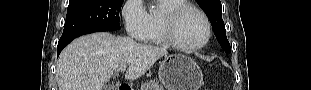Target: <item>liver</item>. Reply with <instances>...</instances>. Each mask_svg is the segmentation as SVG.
Here are the masks:
<instances>
[{
	"mask_svg": "<svg viewBox=\"0 0 311 90\" xmlns=\"http://www.w3.org/2000/svg\"><path fill=\"white\" fill-rule=\"evenodd\" d=\"M168 52L163 47L140 44L129 37L94 33L72 41L60 54L56 78L59 90H103L121 66L129 65L125 78L136 80Z\"/></svg>",
	"mask_w": 311,
	"mask_h": 90,
	"instance_id": "liver-1",
	"label": "liver"
}]
</instances>
